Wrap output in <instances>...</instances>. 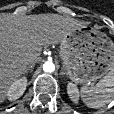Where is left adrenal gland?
<instances>
[{"mask_svg":"<svg viewBox=\"0 0 114 114\" xmlns=\"http://www.w3.org/2000/svg\"><path fill=\"white\" fill-rule=\"evenodd\" d=\"M60 75H62V76L65 75V67H64V65H63V67H62V69H61Z\"/></svg>","mask_w":114,"mask_h":114,"instance_id":"obj_1","label":"left adrenal gland"}]
</instances>
